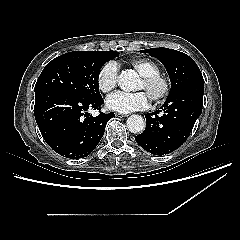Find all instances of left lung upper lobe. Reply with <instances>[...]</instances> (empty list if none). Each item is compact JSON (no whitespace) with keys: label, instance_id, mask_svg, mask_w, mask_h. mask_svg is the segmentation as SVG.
Masks as SVG:
<instances>
[{"label":"left lung upper lobe","instance_id":"5c2ea615","mask_svg":"<svg viewBox=\"0 0 240 240\" xmlns=\"http://www.w3.org/2000/svg\"><path fill=\"white\" fill-rule=\"evenodd\" d=\"M142 52L157 58L166 67L172 84L169 96L188 85L204 83L199 67L188 55L168 48H151Z\"/></svg>","mask_w":240,"mask_h":240}]
</instances>
